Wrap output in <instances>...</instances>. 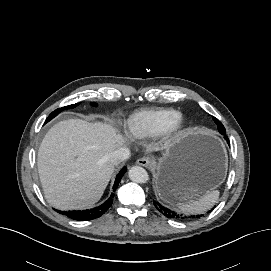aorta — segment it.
Wrapping results in <instances>:
<instances>
[{"label": "aorta", "mask_w": 271, "mask_h": 271, "mask_svg": "<svg viewBox=\"0 0 271 271\" xmlns=\"http://www.w3.org/2000/svg\"><path fill=\"white\" fill-rule=\"evenodd\" d=\"M128 175H129L130 180L136 183H140V184L147 183L149 180V175L147 171L143 167H140V166L131 167L128 172Z\"/></svg>", "instance_id": "1"}]
</instances>
